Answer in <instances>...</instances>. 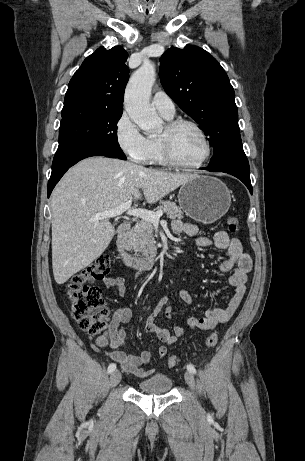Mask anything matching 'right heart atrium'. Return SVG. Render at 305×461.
<instances>
[{"instance_id": "1", "label": "right heart atrium", "mask_w": 305, "mask_h": 461, "mask_svg": "<svg viewBox=\"0 0 305 461\" xmlns=\"http://www.w3.org/2000/svg\"><path fill=\"white\" fill-rule=\"evenodd\" d=\"M115 137L118 146L131 161L146 163L149 139L142 134L127 112H123L116 122Z\"/></svg>"}]
</instances>
